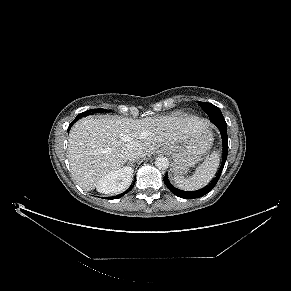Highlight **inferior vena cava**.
<instances>
[{"instance_id": "inferior-vena-cava-1", "label": "inferior vena cava", "mask_w": 291, "mask_h": 291, "mask_svg": "<svg viewBox=\"0 0 291 291\" xmlns=\"http://www.w3.org/2000/svg\"><path fill=\"white\" fill-rule=\"evenodd\" d=\"M127 157L129 160H137L142 155V150L139 147L129 146L126 150Z\"/></svg>"}]
</instances>
